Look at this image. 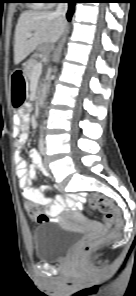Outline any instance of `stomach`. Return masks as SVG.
I'll return each mask as SVG.
<instances>
[{
	"label": "stomach",
	"instance_id": "0dacf381",
	"mask_svg": "<svg viewBox=\"0 0 136 296\" xmlns=\"http://www.w3.org/2000/svg\"><path fill=\"white\" fill-rule=\"evenodd\" d=\"M12 73V84H26L24 69H13ZM25 90H27V85H11L10 98H12L13 108H23L24 101H28Z\"/></svg>",
	"mask_w": 136,
	"mask_h": 296
}]
</instances>
